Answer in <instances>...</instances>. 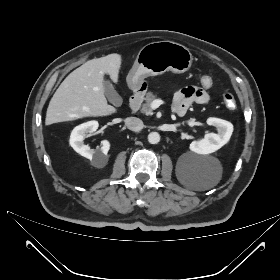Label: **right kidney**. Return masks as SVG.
Masks as SVG:
<instances>
[{
    "mask_svg": "<svg viewBox=\"0 0 280 280\" xmlns=\"http://www.w3.org/2000/svg\"><path fill=\"white\" fill-rule=\"evenodd\" d=\"M98 122L93 120L76 126L71 132L70 145L80 155L93 160L94 165L101 167L107 162V153L110 149V143L108 140L101 141V148L94 150L88 145H85L83 140L88 133H93L98 129Z\"/></svg>",
    "mask_w": 280,
    "mask_h": 280,
    "instance_id": "right-kidney-1",
    "label": "right kidney"
}]
</instances>
